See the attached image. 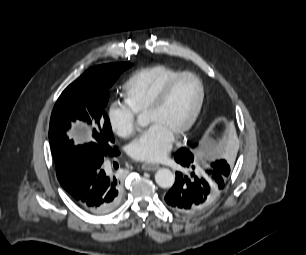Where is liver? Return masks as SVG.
I'll list each match as a JSON object with an SVG mask.
<instances>
[{
	"mask_svg": "<svg viewBox=\"0 0 306 255\" xmlns=\"http://www.w3.org/2000/svg\"><path fill=\"white\" fill-rule=\"evenodd\" d=\"M78 135L81 137L80 141H86L88 139V137H89V133L85 132L82 129L78 130Z\"/></svg>",
	"mask_w": 306,
	"mask_h": 255,
	"instance_id": "obj_1",
	"label": "liver"
}]
</instances>
